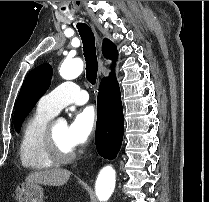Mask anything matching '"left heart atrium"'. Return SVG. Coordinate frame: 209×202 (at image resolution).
Returning a JSON list of instances; mask_svg holds the SVG:
<instances>
[{
    "label": "left heart atrium",
    "mask_w": 209,
    "mask_h": 202,
    "mask_svg": "<svg viewBox=\"0 0 209 202\" xmlns=\"http://www.w3.org/2000/svg\"><path fill=\"white\" fill-rule=\"evenodd\" d=\"M97 112L94 106L89 105L76 110L67 128V141L76 148L86 143L95 131Z\"/></svg>",
    "instance_id": "left-heart-atrium-1"
}]
</instances>
